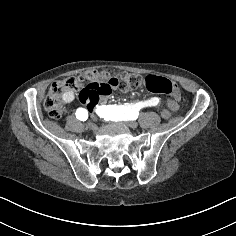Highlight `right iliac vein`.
Wrapping results in <instances>:
<instances>
[{"instance_id":"obj_1","label":"right iliac vein","mask_w":236,"mask_h":236,"mask_svg":"<svg viewBox=\"0 0 236 236\" xmlns=\"http://www.w3.org/2000/svg\"><path fill=\"white\" fill-rule=\"evenodd\" d=\"M89 128H90L92 131H95V130L98 128V125H97L95 122H92V123L89 125Z\"/></svg>"}]
</instances>
